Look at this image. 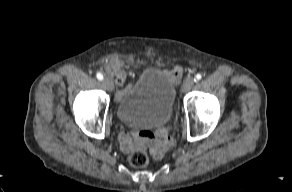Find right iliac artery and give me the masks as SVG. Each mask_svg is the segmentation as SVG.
I'll use <instances>...</instances> for the list:
<instances>
[{"label":"right iliac artery","mask_w":292,"mask_h":192,"mask_svg":"<svg viewBox=\"0 0 292 192\" xmlns=\"http://www.w3.org/2000/svg\"><path fill=\"white\" fill-rule=\"evenodd\" d=\"M96 77L98 80H103V75L100 72L96 74Z\"/></svg>","instance_id":"82829eb1"}]
</instances>
